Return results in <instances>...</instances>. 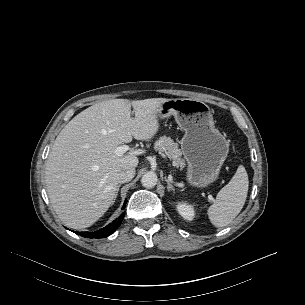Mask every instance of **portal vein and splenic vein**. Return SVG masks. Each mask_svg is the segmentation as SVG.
<instances>
[{
	"instance_id": "portal-vein-and-splenic-vein-1",
	"label": "portal vein and splenic vein",
	"mask_w": 305,
	"mask_h": 305,
	"mask_svg": "<svg viewBox=\"0 0 305 305\" xmlns=\"http://www.w3.org/2000/svg\"><path fill=\"white\" fill-rule=\"evenodd\" d=\"M129 152L130 155H140L142 154L144 151L141 149H135V150H131V148L128 145H122V146H118L115 148V154L118 156H122L123 154H125L126 152ZM210 200H213L212 196L209 197Z\"/></svg>"
}]
</instances>
